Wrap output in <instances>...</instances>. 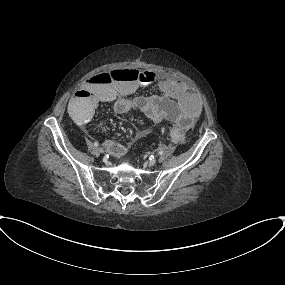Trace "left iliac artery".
<instances>
[{"instance_id":"1","label":"left iliac artery","mask_w":285,"mask_h":285,"mask_svg":"<svg viewBox=\"0 0 285 285\" xmlns=\"http://www.w3.org/2000/svg\"><path fill=\"white\" fill-rule=\"evenodd\" d=\"M159 154H160V155H162V154H163V152H162V151H160V152H159ZM153 158H154V157H153Z\"/></svg>"}]
</instances>
